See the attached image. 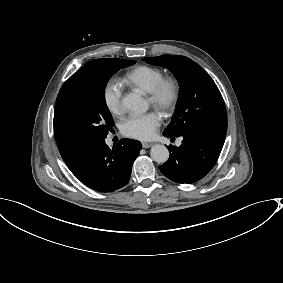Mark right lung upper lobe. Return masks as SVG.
I'll return each instance as SVG.
<instances>
[{"label":"right lung upper lobe","instance_id":"right-lung-upper-lobe-1","mask_svg":"<svg viewBox=\"0 0 283 283\" xmlns=\"http://www.w3.org/2000/svg\"><path fill=\"white\" fill-rule=\"evenodd\" d=\"M84 68L85 67L83 66L68 81H72L76 79L77 77H79L84 71ZM54 135H55V139H56L59 151L61 153V156L65 162L75 157L81 150H83L84 148L88 146V145H82V144H79V143H76V142H73L67 139H63L56 134Z\"/></svg>","mask_w":283,"mask_h":283}]
</instances>
